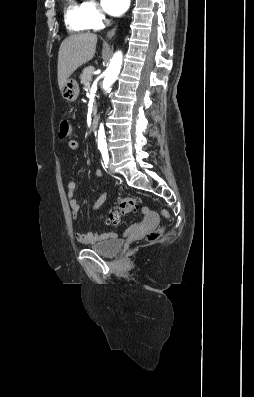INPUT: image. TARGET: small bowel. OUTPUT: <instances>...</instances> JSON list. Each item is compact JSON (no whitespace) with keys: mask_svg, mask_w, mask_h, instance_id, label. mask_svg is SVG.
Masks as SVG:
<instances>
[{"mask_svg":"<svg viewBox=\"0 0 254 397\" xmlns=\"http://www.w3.org/2000/svg\"><path fill=\"white\" fill-rule=\"evenodd\" d=\"M68 147L70 150L76 151L79 148V142L75 139H72L68 142ZM95 175L96 177L99 178L104 176L101 170H96ZM76 189H77V184L74 181H70L67 185L68 201H69L70 211L74 219H76L81 209L80 203L75 198ZM106 199H107V193L106 192L101 193L100 196L92 205V211H96L97 209H99L100 206L106 201ZM143 214L145 215L147 220H149L152 217V213L147 209L143 210ZM98 217L104 218V214H100L98 215ZM75 238L79 243L82 244H94L100 241L114 239L116 238V234L113 232H104V233L76 232Z\"/></svg>","mask_w":254,"mask_h":397,"instance_id":"obj_1","label":"small bowel"}]
</instances>
